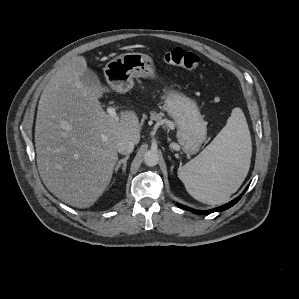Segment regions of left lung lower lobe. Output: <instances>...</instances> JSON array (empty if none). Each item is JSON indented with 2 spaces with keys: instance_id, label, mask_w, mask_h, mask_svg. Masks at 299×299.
Wrapping results in <instances>:
<instances>
[{
  "instance_id": "obj_1",
  "label": "left lung lower lobe",
  "mask_w": 299,
  "mask_h": 299,
  "mask_svg": "<svg viewBox=\"0 0 299 299\" xmlns=\"http://www.w3.org/2000/svg\"><path fill=\"white\" fill-rule=\"evenodd\" d=\"M247 189H248V186L243 191V194L246 192ZM241 197H242V195L238 196L237 198H235L234 200L230 201L227 204H224V205H222L220 207H217V208H214V209H211V210H206V211L195 210V209L189 208V207L181 205V204H176V205L179 208H182V209L194 212V213H198V214H210V213H213V212L223 211V210H226V209L232 207L234 204H236L240 200Z\"/></svg>"
}]
</instances>
